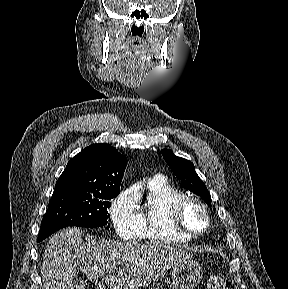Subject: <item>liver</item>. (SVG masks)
Instances as JSON below:
<instances>
[{"instance_id": "1", "label": "liver", "mask_w": 288, "mask_h": 289, "mask_svg": "<svg viewBox=\"0 0 288 289\" xmlns=\"http://www.w3.org/2000/svg\"><path fill=\"white\" fill-rule=\"evenodd\" d=\"M191 259V254L167 244L120 243L87 238L77 227L50 237L43 255L44 289H74L76 269L89 280L105 279L110 289H139L172 267Z\"/></svg>"}]
</instances>
